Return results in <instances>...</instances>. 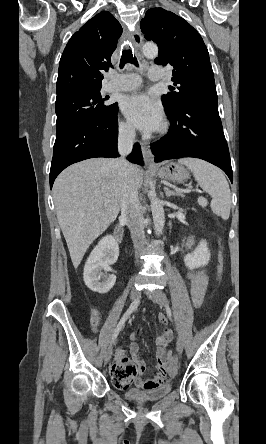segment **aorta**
<instances>
[{
  "instance_id": "aorta-1",
  "label": "aorta",
  "mask_w": 266,
  "mask_h": 444,
  "mask_svg": "<svg viewBox=\"0 0 266 444\" xmlns=\"http://www.w3.org/2000/svg\"><path fill=\"white\" fill-rule=\"evenodd\" d=\"M142 52L147 58H154L158 55V47L154 43H146L142 47ZM149 198L151 202V211L156 235L162 234L165 224V214L162 201L157 197L155 192L150 191Z\"/></svg>"
}]
</instances>
